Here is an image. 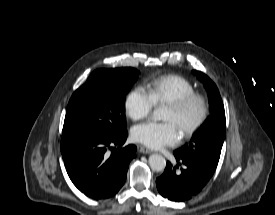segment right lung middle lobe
Listing matches in <instances>:
<instances>
[{
	"label": "right lung middle lobe",
	"instance_id": "obj_1",
	"mask_svg": "<svg viewBox=\"0 0 275 215\" xmlns=\"http://www.w3.org/2000/svg\"><path fill=\"white\" fill-rule=\"evenodd\" d=\"M138 75L134 68L94 71L70 98L62 138L112 137L126 131L125 95Z\"/></svg>",
	"mask_w": 275,
	"mask_h": 215
}]
</instances>
